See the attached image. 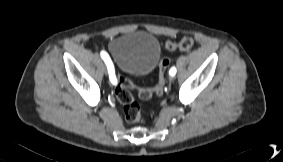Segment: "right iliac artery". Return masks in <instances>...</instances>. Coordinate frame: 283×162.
Listing matches in <instances>:
<instances>
[{"mask_svg": "<svg viewBox=\"0 0 283 162\" xmlns=\"http://www.w3.org/2000/svg\"><path fill=\"white\" fill-rule=\"evenodd\" d=\"M101 57L107 65L110 81L113 84H115L116 83V77H115V73H114V66L111 62L109 55L105 51H101Z\"/></svg>", "mask_w": 283, "mask_h": 162, "instance_id": "82829eb1", "label": "right iliac artery"}]
</instances>
